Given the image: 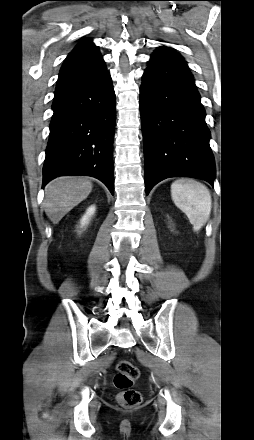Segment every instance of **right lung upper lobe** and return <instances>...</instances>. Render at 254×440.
<instances>
[{"instance_id":"1","label":"right lung upper lobe","mask_w":254,"mask_h":440,"mask_svg":"<svg viewBox=\"0 0 254 440\" xmlns=\"http://www.w3.org/2000/svg\"><path fill=\"white\" fill-rule=\"evenodd\" d=\"M103 61V58L92 40L78 44L65 59L59 77L86 69Z\"/></svg>"}]
</instances>
